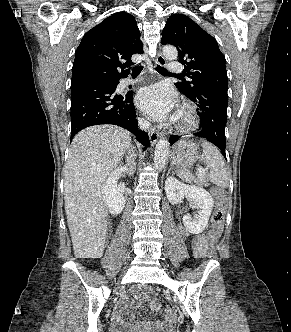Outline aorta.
Here are the masks:
<instances>
[{
  "mask_svg": "<svg viewBox=\"0 0 291 332\" xmlns=\"http://www.w3.org/2000/svg\"><path fill=\"white\" fill-rule=\"evenodd\" d=\"M163 56L167 60H175L178 56V51L171 45H166L162 49ZM169 154V142L167 138L163 137L158 140L154 152V166L157 171H161L167 162Z\"/></svg>",
  "mask_w": 291,
  "mask_h": 332,
  "instance_id": "1",
  "label": "aorta"
}]
</instances>
